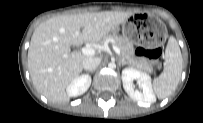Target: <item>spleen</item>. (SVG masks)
Segmentation results:
<instances>
[{"label":"spleen","instance_id":"spleen-1","mask_svg":"<svg viewBox=\"0 0 203 123\" xmlns=\"http://www.w3.org/2000/svg\"><path fill=\"white\" fill-rule=\"evenodd\" d=\"M183 68V60L179 45L174 37H170L165 51L163 72L153 80V90L159 99L170 96L177 88Z\"/></svg>","mask_w":203,"mask_h":123}]
</instances>
